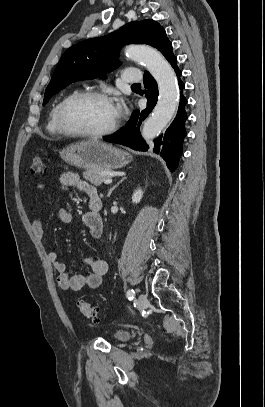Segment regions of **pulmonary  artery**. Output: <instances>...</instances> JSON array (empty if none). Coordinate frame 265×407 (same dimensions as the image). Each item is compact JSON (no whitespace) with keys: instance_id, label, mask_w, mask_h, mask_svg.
Segmentation results:
<instances>
[{"instance_id":"e3ab8cb5","label":"pulmonary artery","mask_w":265,"mask_h":407,"mask_svg":"<svg viewBox=\"0 0 265 407\" xmlns=\"http://www.w3.org/2000/svg\"><path fill=\"white\" fill-rule=\"evenodd\" d=\"M122 79L125 83L137 84L142 80V75L136 68L128 67L123 72Z\"/></svg>"}]
</instances>
